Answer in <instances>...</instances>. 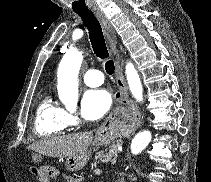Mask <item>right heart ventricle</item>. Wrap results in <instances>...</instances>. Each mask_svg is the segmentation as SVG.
I'll list each match as a JSON object with an SVG mask.
<instances>
[{
	"instance_id": "obj_1",
	"label": "right heart ventricle",
	"mask_w": 211,
	"mask_h": 182,
	"mask_svg": "<svg viewBox=\"0 0 211 182\" xmlns=\"http://www.w3.org/2000/svg\"><path fill=\"white\" fill-rule=\"evenodd\" d=\"M66 113L51 95L45 96L36 109L34 122L36 135L51 138L65 132L69 125Z\"/></svg>"
}]
</instances>
